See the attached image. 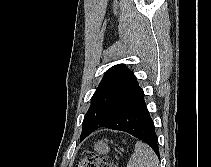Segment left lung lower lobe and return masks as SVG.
<instances>
[{
	"label": "left lung lower lobe",
	"mask_w": 211,
	"mask_h": 167,
	"mask_svg": "<svg viewBox=\"0 0 211 167\" xmlns=\"http://www.w3.org/2000/svg\"><path fill=\"white\" fill-rule=\"evenodd\" d=\"M100 127L127 132L147 143L156 155L160 156L158 138L153 120L144 102V92L129 102L112 120ZM93 131L84 135L80 140L85 139Z\"/></svg>",
	"instance_id": "left-lung-lower-lobe-1"
}]
</instances>
